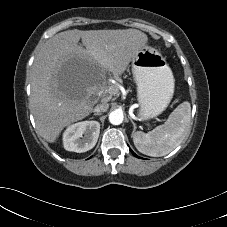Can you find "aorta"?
<instances>
[{
    "mask_svg": "<svg viewBox=\"0 0 227 227\" xmlns=\"http://www.w3.org/2000/svg\"><path fill=\"white\" fill-rule=\"evenodd\" d=\"M124 116L122 111L114 110L109 114V121L113 125H120L123 122Z\"/></svg>",
    "mask_w": 227,
    "mask_h": 227,
    "instance_id": "762f6f07",
    "label": "aorta"
}]
</instances>
